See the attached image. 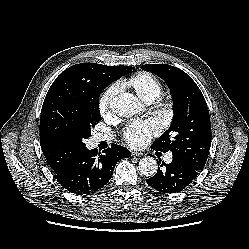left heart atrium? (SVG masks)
Masks as SVG:
<instances>
[{
  "instance_id": "1",
  "label": "left heart atrium",
  "mask_w": 249,
  "mask_h": 249,
  "mask_svg": "<svg viewBox=\"0 0 249 249\" xmlns=\"http://www.w3.org/2000/svg\"><path fill=\"white\" fill-rule=\"evenodd\" d=\"M160 130L161 124L156 118L135 120L125 128L123 138L129 146L140 148L145 146Z\"/></svg>"
}]
</instances>
